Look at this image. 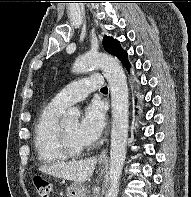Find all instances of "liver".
<instances>
[{
	"instance_id": "6515ba94",
	"label": "liver",
	"mask_w": 191,
	"mask_h": 197,
	"mask_svg": "<svg viewBox=\"0 0 191 197\" xmlns=\"http://www.w3.org/2000/svg\"><path fill=\"white\" fill-rule=\"evenodd\" d=\"M97 158L92 157L85 160L73 162H61L39 167V171L74 182H85L88 180L95 169Z\"/></svg>"
}]
</instances>
